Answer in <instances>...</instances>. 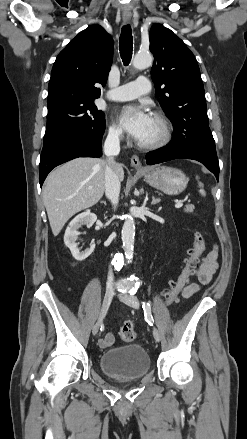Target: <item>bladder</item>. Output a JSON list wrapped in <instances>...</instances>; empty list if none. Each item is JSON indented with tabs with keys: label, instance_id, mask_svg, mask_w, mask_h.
Masks as SVG:
<instances>
[{
	"label": "bladder",
	"instance_id": "bladder-1",
	"mask_svg": "<svg viewBox=\"0 0 247 439\" xmlns=\"http://www.w3.org/2000/svg\"><path fill=\"white\" fill-rule=\"evenodd\" d=\"M150 366L147 351L138 344L109 349L100 357L102 371L119 381L138 380L149 372Z\"/></svg>",
	"mask_w": 247,
	"mask_h": 439
}]
</instances>
